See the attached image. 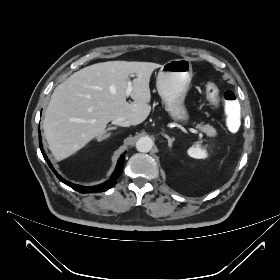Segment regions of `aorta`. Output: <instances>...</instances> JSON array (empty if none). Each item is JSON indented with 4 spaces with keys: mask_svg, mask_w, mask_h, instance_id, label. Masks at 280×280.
Segmentation results:
<instances>
[{
    "mask_svg": "<svg viewBox=\"0 0 280 280\" xmlns=\"http://www.w3.org/2000/svg\"><path fill=\"white\" fill-rule=\"evenodd\" d=\"M153 147V141L150 137H141L136 142V149L139 152H149Z\"/></svg>",
    "mask_w": 280,
    "mask_h": 280,
    "instance_id": "aorta-1",
    "label": "aorta"
}]
</instances>
